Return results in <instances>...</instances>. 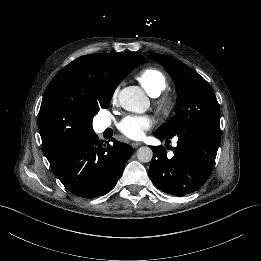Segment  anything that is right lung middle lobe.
<instances>
[{"mask_svg":"<svg viewBox=\"0 0 261 261\" xmlns=\"http://www.w3.org/2000/svg\"><path fill=\"white\" fill-rule=\"evenodd\" d=\"M139 64H140V62H138L135 58L126 62L125 66H124V74H123L122 79L124 77H126L127 74ZM112 95H113V92L105 93L98 97V101H96V112H98L100 108L106 109L109 106Z\"/></svg>","mask_w":261,"mask_h":261,"instance_id":"dd1d6c3e","label":"right lung middle lobe"}]
</instances>
